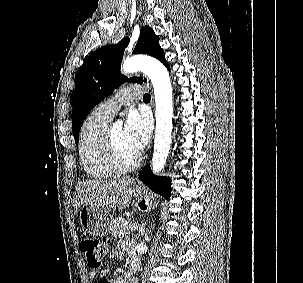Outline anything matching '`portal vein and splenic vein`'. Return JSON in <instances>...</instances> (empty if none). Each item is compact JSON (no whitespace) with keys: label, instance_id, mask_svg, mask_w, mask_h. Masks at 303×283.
I'll return each instance as SVG.
<instances>
[{"label":"portal vein and splenic vein","instance_id":"portal-vein-and-splenic-vein-1","mask_svg":"<svg viewBox=\"0 0 303 283\" xmlns=\"http://www.w3.org/2000/svg\"><path fill=\"white\" fill-rule=\"evenodd\" d=\"M138 228H139V226H138L137 224H132V225L129 227L130 231H135V230H137Z\"/></svg>","mask_w":303,"mask_h":283}]
</instances>
